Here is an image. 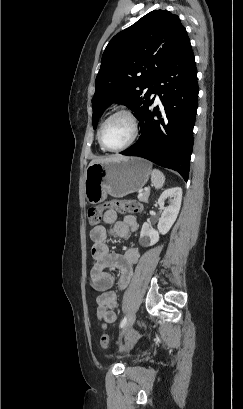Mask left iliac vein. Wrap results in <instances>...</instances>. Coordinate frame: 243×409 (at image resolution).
Masks as SVG:
<instances>
[{"label":"left iliac vein","instance_id":"left-iliac-vein-1","mask_svg":"<svg viewBox=\"0 0 243 409\" xmlns=\"http://www.w3.org/2000/svg\"><path fill=\"white\" fill-rule=\"evenodd\" d=\"M135 318H136V315H135V312H133V313L131 314V316H130L128 322H127L126 325L124 326L123 330L121 331L120 336H119V339H121L123 336H125L126 334L129 333V331H130L131 328H132V325L134 324ZM134 342H135V339H133V341L131 342V344L134 343ZM129 348H130V345L127 346V349H129Z\"/></svg>","mask_w":243,"mask_h":409}]
</instances>
